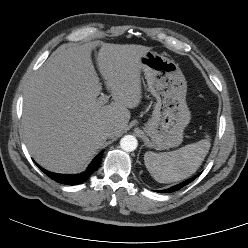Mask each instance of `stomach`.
<instances>
[{
	"instance_id": "stomach-1",
	"label": "stomach",
	"mask_w": 248,
	"mask_h": 248,
	"mask_svg": "<svg viewBox=\"0 0 248 248\" xmlns=\"http://www.w3.org/2000/svg\"><path fill=\"white\" fill-rule=\"evenodd\" d=\"M140 63L148 90L157 100L144 131L156 149L177 147L191 119L186 103V79L178 64L157 52L148 51Z\"/></svg>"
}]
</instances>
